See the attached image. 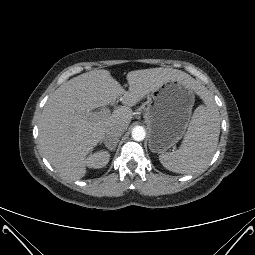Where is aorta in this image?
<instances>
[{
	"label": "aorta",
	"instance_id": "obj_1",
	"mask_svg": "<svg viewBox=\"0 0 255 255\" xmlns=\"http://www.w3.org/2000/svg\"><path fill=\"white\" fill-rule=\"evenodd\" d=\"M146 132L145 129L141 126H136L132 130V138L135 141H143L145 139Z\"/></svg>",
	"mask_w": 255,
	"mask_h": 255
}]
</instances>
